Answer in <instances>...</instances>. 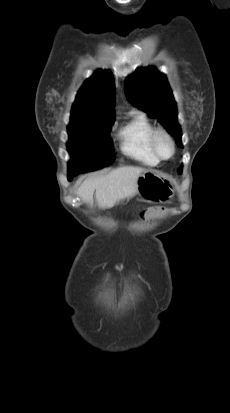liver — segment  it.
Returning <instances> with one entry per match:
<instances>
[{"mask_svg": "<svg viewBox=\"0 0 230 413\" xmlns=\"http://www.w3.org/2000/svg\"><path fill=\"white\" fill-rule=\"evenodd\" d=\"M144 169L134 166L116 168L110 173L86 179L76 194L88 205H93V195L100 209L115 206L137 193V179Z\"/></svg>", "mask_w": 230, "mask_h": 413, "instance_id": "1", "label": "liver"}]
</instances>
